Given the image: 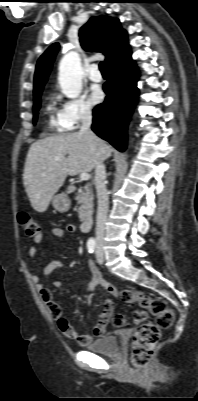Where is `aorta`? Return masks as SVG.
I'll list each match as a JSON object with an SVG mask.
<instances>
[{
  "instance_id": "obj_1",
  "label": "aorta",
  "mask_w": 198,
  "mask_h": 401,
  "mask_svg": "<svg viewBox=\"0 0 198 401\" xmlns=\"http://www.w3.org/2000/svg\"><path fill=\"white\" fill-rule=\"evenodd\" d=\"M58 81L62 93L71 99L77 98L82 90L80 59L74 52L66 54L59 64Z\"/></svg>"
}]
</instances>
